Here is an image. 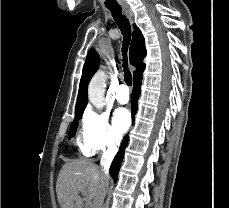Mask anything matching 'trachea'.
I'll list each match as a JSON object with an SVG mask.
<instances>
[{"mask_svg":"<svg viewBox=\"0 0 229 208\" xmlns=\"http://www.w3.org/2000/svg\"><path fill=\"white\" fill-rule=\"evenodd\" d=\"M114 20L118 25V28L121 30L123 35V44H122V56H123V71H124V81L128 86L132 85V75L128 69V59H127V50L131 41V26L128 18L125 15H122L121 7H107Z\"/></svg>","mask_w":229,"mask_h":208,"instance_id":"obj_1","label":"trachea"}]
</instances>
